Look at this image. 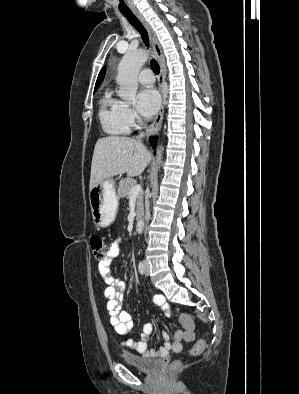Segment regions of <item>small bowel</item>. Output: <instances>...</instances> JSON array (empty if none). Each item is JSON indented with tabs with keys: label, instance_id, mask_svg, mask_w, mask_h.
Here are the masks:
<instances>
[{
	"label": "small bowel",
	"instance_id": "c3829d8e",
	"mask_svg": "<svg viewBox=\"0 0 299 394\" xmlns=\"http://www.w3.org/2000/svg\"><path fill=\"white\" fill-rule=\"evenodd\" d=\"M122 240L117 239L110 245L109 253L107 257L101 260L98 264V271L102 280L106 283L107 287L104 290V296L107 299V309L110 314V322L113 329L122 336H127L133 329V323L131 321V315L124 312L120 308L122 301V292L125 289V282L120 278L115 277L109 265L118 257ZM154 303L165 312L167 317L170 316L169 305L166 299L162 295H155L153 298ZM179 321L183 327L181 330H177L173 339L170 340L168 333L164 332L163 337L165 344L158 349H148L147 341L154 331V325L147 323L143 326L141 332V340L135 341L134 339H124L122 345L126 348L134 350L141 354L143 357H165L170 352H179L182 349V343L184 341L190 342L194 339V321L187 314H181Z\"/></svg>",
	"mask_w": 299,
	"mask_h": 394
}]
</instances>
